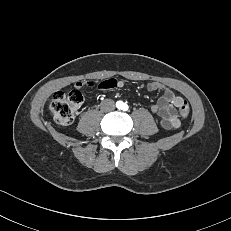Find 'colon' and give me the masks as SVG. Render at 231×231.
<instances>
[{
  "label": "colon",
  "mask_w": 231,
  "mask_h": 231,
  "mask_svg": "<svg viewBox=\"0 0 231 231\" xmlns=\"http://www.w3.org/2000/svg\"><path fill=\"white\" fill-rule=\"evenodd\" d=\"M83 102L84 96L79 90L57 92L50 101L49 110L56 123L60 125H69L73 122L75 114ZM179 111L183 117L189 115L190 107L186 100L181 103Z\"/></svg>",
  "instance_id": "5ec220e1"
}]
</instances>
